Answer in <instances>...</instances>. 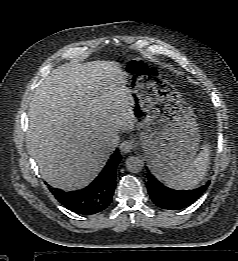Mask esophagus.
I'll return each instance as SVG.
<instances>
[{"mask_svg": "<svg viewBox=\"0 0 238 261\" xmlns=\"http://www.w3.org/2000/svg\"><path fill=\"white\" fill-rule=\"evenodd\" d=\"M134 148L132 140H125L120 144V151L124 154L129 153Z\"/></svg>", "mask_w": 238, "mask_h": 261, "instance_id": "esophagus-1", "label": "esophagus"}]
</instances>
